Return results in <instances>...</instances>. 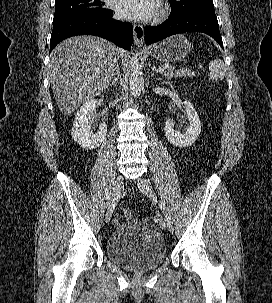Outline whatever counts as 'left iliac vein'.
Returning a JSON list of instances; mask_svg holds the SVG:
<instances>
[{
	"label": "left iliac vein",
	"mask_w": 272,
	"mask_h": 303,
	"mask_svg": "<svg viewBox=\"0 0 272 303\" xmlns=\"http://www.w3.org/2000/svg\"><path fill=\"white\" fill-rule=\"evenodd\" d=\"M137 185H138L140 191L144 195H146L148 197H155V192H154L150 182L147 179H145L143 177L139 178L137 180ZM165 222H166V225H167V228L169 229V231L173 232V230H174L173 222L172 221L168 222L166 216H165Z\"/></svg>",
	"instance_id": "1"
}]
</instances>
